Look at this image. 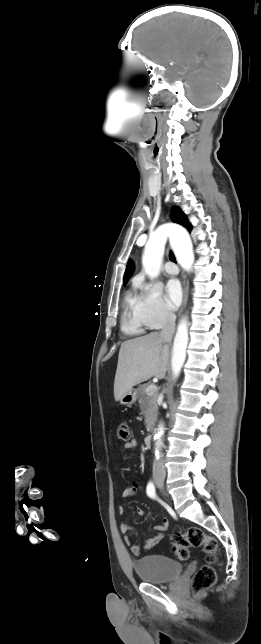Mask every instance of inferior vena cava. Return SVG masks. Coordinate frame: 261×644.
<instances>
[{
	"mask_svg": "<svg viewBox=\"0 0 261 644\" xmlns=\"http://www.w3.org/2000/svg\"><path fill=\"white\" fill-rule=\"evenodd\" d=\"M175 320H176L175 314H173L172 312H169V311L165 312V314H164V324H163V328H162V331H161V336L167 341L171 340V335H172V333L174 331V328H175ZM154 474L155 475H157V474H163L164 475L165 474V468H164V463H163L162 459H159V460L155 461Z\"/></svg>",
	"mask_w": 261,
	"mask_h": 644,
	"instance_id": "inferior-vena-cava-1",
	"label": "inferior vena cava"
}]
</instances>
